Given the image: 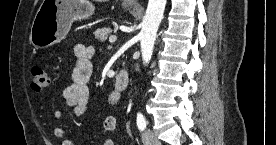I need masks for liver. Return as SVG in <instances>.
Here are the masks:
<instances>
[{"label": "liver", "mask_w": 276, "mask_h": 145, "mask_svg": "<svg viewBox=\"0 0 276 145\" xmlns=\"http://www.w3.org/2000/svg\"><path fill=\"white\" fill-rule=\"evenodd\" d=\"M96 1H98V2H104L105 0H96Z\"/></svg>", "instance_id": "6515ba94"}]
</instances>
